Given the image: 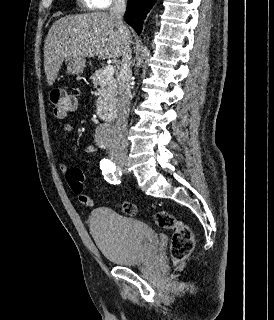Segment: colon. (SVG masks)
Returning <instances> with one entry per match:
<instances>
[{"instance_id": "obj_1", "label": "colon", "mask_w": 274, "mask_h": 320, "mask_svg": "<svg viewBox=\"0 0 274 320\" xmlns=\"http://www.w3.org/2000/svg\"><path fill=\"white\" fill-rule=\"evenodd\" d=\"M49 102L52 105L53 116L58 120L65 119L76 108L75 100L66 93L64 88L60 87L53 88L50 91ZM66 179L75 193L84 196L83 182H86L87 177L82 174L79 168H70L66 172ZM120 207L123 214L127 216H135L138 212L137 207L129 201H123ZM155 219L160 227L172 231L171 256L173 261L175 263L183 262L195 246L191 229L185 222L178 220L169 212L159 213Z\"/></svg>"}]
</instances>
